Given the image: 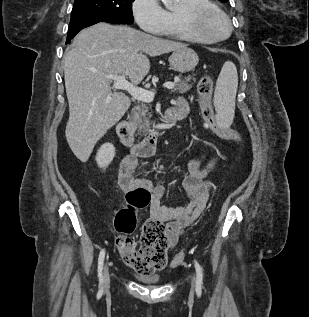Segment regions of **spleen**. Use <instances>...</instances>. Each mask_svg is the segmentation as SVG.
Wrapping results in <instances>:
<instances>
[{
  "label": "spleen",
  "mask_w": 309,
  "mask_h": 317,
  "mask_svg": "<svg viewBox=\"0 0 309 317\" xmlns=\"http://www.w3.org/2000/svg\"><path fill=\"white\" fill-rule=\"evenodd\" d=\"M237 88L236 66L233 62L226 61L218 76L214 93L216 120L221 127H229L233 121Z\"/></svg>",
  "instance_id": "obj_1"
}]
</instances>
